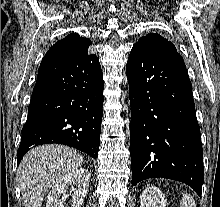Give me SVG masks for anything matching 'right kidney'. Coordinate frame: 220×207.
I'll return each instance as SVG.
<instances>
[{
	"mask_svg": "<svg viewBox=\"0 0 220 207\" xmlns=\"http://www.w3.org/2000/svg\"><path fill=\"white\" fill-rule=\"evenodd\" d=\"M90 173L84 168H76L71 173L60 178L49 192L46 207H65L67 194L71 186L72 195L71 207H81L89 187ZM76 186V188H74Z\"/></svg>",
	"mask_w": 220,
	"mask_h": 207,
	"instance_id": "ca27d5eb",
	"label": "right kidney"
}]
</instances>
